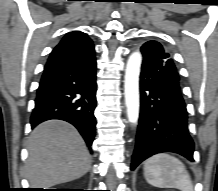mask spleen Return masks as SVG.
Instances as JSON below:
<instances>
[{
  "mask_svg": "<svg viewBox=\"0 0 218 191\" xmlns=\"http://www.w3.org/2000/svg\"><path fill=\"white\" fill-rule=\"evenodd\" d=\"M144 177L149 184L159 188L193 191V184L184 164L167 153L156 154L145 162Z\"/></svg>",
  "mask_w": 218,
  "mask_h": 191,
  "instance_id": "obj_1",
  "label": "spleen"
}]
</instances>
